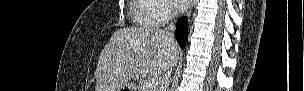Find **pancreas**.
Instances as JSON below:
<instances>
[{"label":"pancreas","mask_w":304,"mask_h":91,"mask_svg":"<svg viewBox=\"0 0 304 91\" xmlns=\"http://www.w3.org/2000/svg\"><path fill=\"white\" fill-rule=\"evenodd\" d=\"M146 82L144 80H141L139 82V85H138V91H153V89H149L146 87Z\"/></svg>","instance_id":"obj_1"}]
</instances>
